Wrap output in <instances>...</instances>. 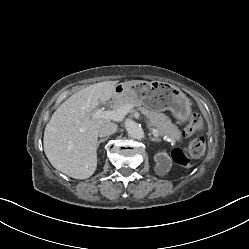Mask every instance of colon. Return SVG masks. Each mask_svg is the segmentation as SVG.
<instances>
[{
  "mask_svg": "<svg viewBox=\"0 0 249 249\" xmlns=\"http://www.w3.org/2000/svg\"><path fill=\"white\" fill-rule=\"evenodd\" d=\"M203 127V119L198 113H193L190 117L189 125L183 130L184 137H191ZM206 149L205 140L202 136L193 139L188 146V154L192 158L201 157ZM173 160L182 166H187L189 157L180 149L172 152Z\"/></svg>",
  "mask_w": 249,
  "mask_h": 249,
  "instance_id": "1",
  "label": "colon"
}]
</instances>
